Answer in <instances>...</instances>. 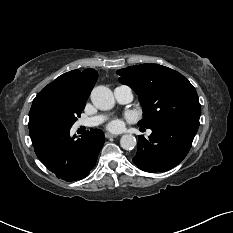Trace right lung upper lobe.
Masks as SVG:
<instances>
[{
  "label": "right lung upper lobe",
  "mask_w": 233,
  "mask_h": 233,
  "mask_svg": "<svg viewBox=\"0 0 233 233\" xmlns=\"http://www.w3.org/2000/svg\"><path fill=\"white\" fill-rule=\"evenodd\" d=\"M97 78L98 73L94 69H86L83 72L73 70L62 74L44 89H55L75 100L86 102Z\"/></svg>",
  "instance_id": "obj_1"
}]
</instances>
